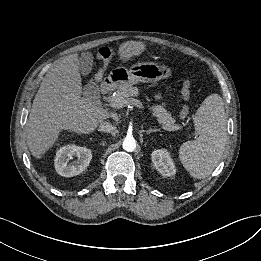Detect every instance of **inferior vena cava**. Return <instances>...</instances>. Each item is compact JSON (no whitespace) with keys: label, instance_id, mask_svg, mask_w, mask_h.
I'll return each instance as SVG.
<instances>
[{"label":"inferior vena cava","instance_id":"602c4592","mask_svg":"<svg viewBox=\"0 0 261 261\" xmlns=\"http://www.w3.org/2000/svg\"><path fill=\"white\" fill-rule=\"evenodd\" d=\"M114 129V126L107 121H103L99 125V131L102 132H112Z\"/></svg>","mask_w":261,"mask_h":261}]
</instances>
